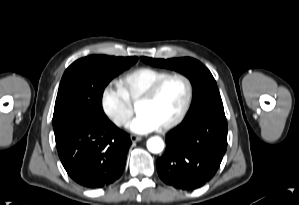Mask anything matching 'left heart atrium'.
I'll return each mask as SVG.
<instances>
[{
  "instance_id": "obj_1",
  "label": "left heart atrium",
  "mask_w": 299,
  "mask_h": 205,
  "mask_svg": "<svg viewBox=\"0 0 299 205\" xmlns=\"http://www.w3.org/2000/svg\"><path fill=\"white\" fill-rule=\"evenodd\" d=\"M159 127V124L146 113H138L128 124V129L137 134H146L157 130Z\"/></svg>"
}]
</instances>
